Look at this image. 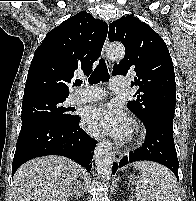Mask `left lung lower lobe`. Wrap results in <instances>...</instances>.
I'll return each instance as SVG.
<instances>
[{"mask_svg":"<svg viewBox=\"0 0 196 201\" xmlns=\"http://www.w3.org/2000/svg\"><path fill=\"white\" fill-rule=\"evenodd\" d=\"M145 127L146 139L143 146L125 156L120 163H113V174L118 167L128 163L150 160L168 167L178 178L179 162L173 139V121L156 119L149 122Z\"/></svg>","mask_w":196,"mask_h":201,"instance_id":"1","label":"left lung lower lobe"}]
</instances>
